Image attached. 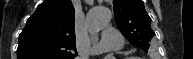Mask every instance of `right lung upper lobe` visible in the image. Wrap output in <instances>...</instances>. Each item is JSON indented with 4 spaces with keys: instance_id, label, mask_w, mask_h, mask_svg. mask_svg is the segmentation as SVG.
<instances>
[{
    "instance_id": "right-lung-upper-lobe-1",
    "label": "right lung upper lobe",
    "mask_w": 193,
    "mask_h": 59,
    "mask_svg": "<svg viewBox=\"0 0 193 59\" xmlns=\"http://www.w3.org/2000/svg\"><path fill=\"white\" fill-rule=\"evenodd\" d=\"M71 0H45L19 35L17 59H72L77 54Z\"/></svg>"
}]
</instances>
